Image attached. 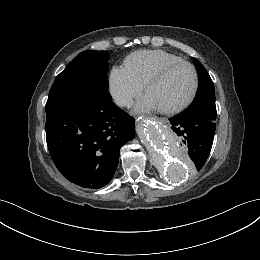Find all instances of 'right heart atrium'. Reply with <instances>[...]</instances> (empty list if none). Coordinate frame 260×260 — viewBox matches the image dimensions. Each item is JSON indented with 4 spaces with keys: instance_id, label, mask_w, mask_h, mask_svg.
I'll return each mask as SVG.
<instances>
[{
    "instance_id": "d8ad5b80",
    "label": "right heart atrium",
    "mask_w": 260,
    "mask_h": 260,
    "mask_svg": "<svg viewBox=\"0 0 260 260\" xmlns=\"http://www.w3.org/2000/svg\"><path fill=\"white\" fill-rule=\"evenodd\" d=\"M142 90L143 84L136 81L125 67H113L110 74V91L118 106H129Z\"/></svg>"
}]
</instances>
